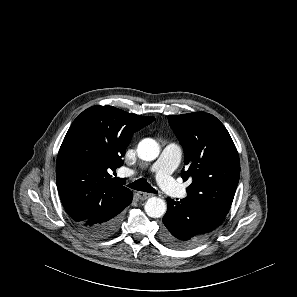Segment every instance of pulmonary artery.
Listing matches in <instances>:
<instances>
[{
    "instance_id": "1",
    "label": "pulmonary artery",
    "mask_w": 297,
    "mask_h": 297,
    "mask_svg": "<svg viewBox=\"0 0 297 297\" xmlns=\"http://www.w3.org/2000/svg\"><path fill=\"white\" fill-rule=\"evenodd\" d=\"M182 157V148L177 143L167 144L161 151L160 156L151 167L150 171L155 174L160 188L167 194L185 198L187 192L171 177L172 172L178 166ZM134 172H130L132 175Z\"/></svg>"
}]
</instances>
